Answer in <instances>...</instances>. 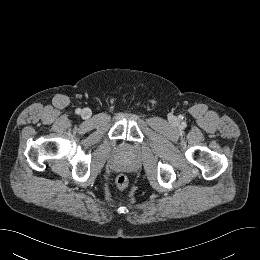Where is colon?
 I'll use <instances>...</instances> for the list:
<instances>
[{
  "label": "colon",
  "mask_w": 260,
  "mask_h": 260,
  "mask_svg": "<svg viewBox=\"0 0 260 260\" xmlns=\"http://www.w3.org/2000/svg\"><path fill=\"white\" fill-rule=\"evenodd\" d=\"M115 182H116V186L121 190L126 189L129 184L128 177L124 174L117 176Z\"/></svg>",
  "instance_id": "colon-1"
}]
</instances>
